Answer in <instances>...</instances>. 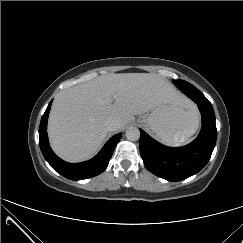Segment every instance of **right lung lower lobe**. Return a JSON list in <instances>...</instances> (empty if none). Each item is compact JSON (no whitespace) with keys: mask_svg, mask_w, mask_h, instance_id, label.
I'll return each instance as SVG.
<instances>
[{"mask_svg":"<svg viewBox=\"0 0 243 243\" xmlns=\"http://www.w3.org/2000/svg\"><path fill=\"white\" fill-rule=\"evenodd\" d=\"M51 103L52 101L49 103L45 113L43 114L39 127V144L46 161L59 174L71 180L87 179L102 173L108 166L114 148L121 138V134H117L110 138L98 155H96L93 159L78 164L67 163L58 158L49 146L46 129Z\"/></svg>","mask_w":243,"mask_h":243,"instance_id":"obj_1","label":"right lung lower lobe"}]
</instances>
